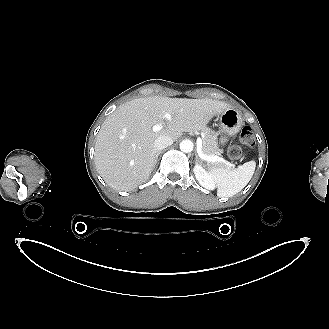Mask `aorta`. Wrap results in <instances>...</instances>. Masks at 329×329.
<instances>
[{"label":"aorta","instance_id":"aorta-1","mask_svg":"<svg viewBox=\"0 0 329 329\" xmlns=\"http://www.w3.org/2000/svg\"><path fill=\"white\" fill-rule=\"evenodd\" d=\"M180 150L185 153H190L193 150V142L191 140H183L180 143Z\"/></svg>","mask_w":329,"mask_h":329}]
</instances>
